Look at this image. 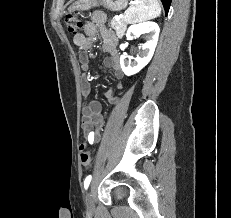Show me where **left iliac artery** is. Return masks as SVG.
Returning <instances> with one entry per match:
<instances>
[{
  "mask_svg": "<svg viewBox=\"0 0 231 218\" xmlns=\"http://www.w3.org/2000/svg\"><path fill=\"white\" fill-rule=\"evenodd\" d=\"M88 141L90 144L94 143V132H90V134L88 135ZM92 176L89 175L86 177L85 181H84V188L87 189L90 182H91Z\"/></svg>",
  "mask_w": 231,
  "mask_h": 218,
  "instance_id": "obj_1",
  "label": "left iliac artery"
}]
</instances>
